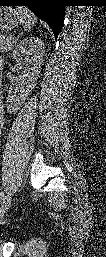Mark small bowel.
Masks as SVG:
<instances>
[{
	"label": "small bowel",
	"instance_id": "obj_1",
	"mask_svg": "<svg viewBox=\"0 0 106 257\" xmlns=\"http://www.w3.org/2000/svg\"><path fill=\"white\" fill-rule=\"evenodd\" d=\"M0 119H1L0 122H1V126H2V124H3L2 107H1V118Z\"/></svg>",
	"mask_w": 106,
	"mask_h": 257
}]
</instances>
